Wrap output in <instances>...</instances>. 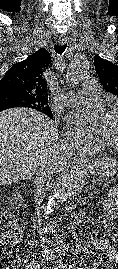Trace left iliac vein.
Listing matches in <instances>:
<instances>
[{"label": "left iliac vein", "instance_id": "1", "mask_svg": "<svg viewBox=\"0 0 118 269\" xmlns=\"http://www.w3.org/2000/svg\"><path fill=\"white\" fill-rule=\"evenodd\" d=\"M58 266L61 268V269H67L65 266H63V264L61 262H58Z\"/></svg>", "mask_w": 118, "mask_h": 269}]
</instances>
